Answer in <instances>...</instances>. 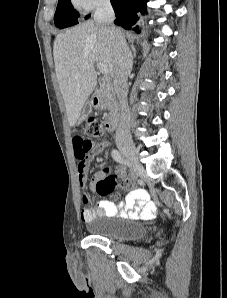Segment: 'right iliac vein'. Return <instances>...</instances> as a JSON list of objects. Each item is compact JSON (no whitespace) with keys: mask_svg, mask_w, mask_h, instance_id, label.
<instances>
[{"mask_svg":"<svg viewBox=\"0 0 227 298\" xmlns=\"http://www.w3.org/2000/svg\"><path fill=\"white\" fill-rule=\"evenodd\" d=\"M118 147L132 164L135 175H138V173L142 170V166L139 162L138 151L134 143L121 142L119 143Z\"/></svg>","mask_w":227,"mask_h":298,"instance_id":"1","label":"right iliac vein"}]
</instances>
